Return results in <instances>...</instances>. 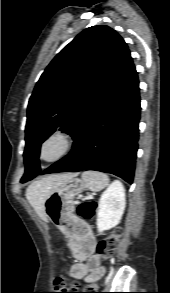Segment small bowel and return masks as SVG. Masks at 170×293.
<instances>
[{
	"label": "small bowel",
	"mask_w": 170,
	"mask_h": 293,
	"mask_svg": "<svg viewBox=\"0 0 170 293\" xmlns=\"http://www.w3.org/2000/svg\"><path fill=\"white\" fill-rule=\"evenodd\" d=\"M69 245L72 253L80 260L71 266L69 276L86 283H94L100 280L105 274V268L101 264L100 257L93 253L88 246L83 245L76 237L69 238Z\"/></svg>",
	"instance_id": "1"
}]
</instances>
